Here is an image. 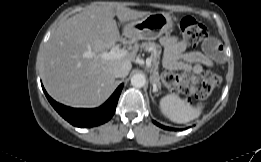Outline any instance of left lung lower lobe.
Returning a JSON list of instances; mask_svg holds the SVG:
<instances>
[{
  "label": "left lung lower lobe",
  "instance_id": "0a47b994",
  "mask_svg": "<svg viewBox=\"0 0 261 162\" xmlns=\"http://www.w3.org/2000/svg\"><path fill=\"white\" fill-rule=\"evenodd\" d=\"M153 123H154L155 125H157V126L163 128V129H169V128L166 127V126H163V125L157 123L156 121H153ZM170 130H174V131H176L177 129H176V128H170Z\"/></svg>",
  "mask_w": 261,
  "mask_h": 162
}]
</instances>
